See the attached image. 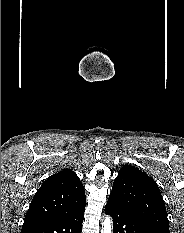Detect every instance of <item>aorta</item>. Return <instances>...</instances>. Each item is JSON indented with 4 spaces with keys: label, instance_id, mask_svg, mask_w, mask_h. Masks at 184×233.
<instances>
[{
    "label": "aorta",
    "instance_id": "762f6f07",
    "mask_svg": "<svg viewBox=\"0 0 184 233\" xmlns=\"http://www.w3.org/2000/svg\"><path fill=\"white\" fill-rule=\"evenodd\" d=\"M101 233H112V220L110 217L104 219Z\"/></svg>",
    "mask_w": 184,
    "mask_h": 233
}]
</instances>
